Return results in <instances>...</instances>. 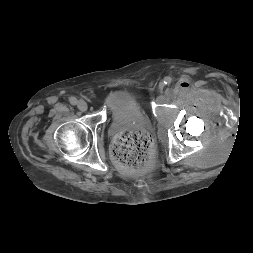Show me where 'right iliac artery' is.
<instances>
[{
  "label": "right iliac artery",
  "mask_w": 253,
  "mask_h": 253,
  "mask_svg": "<svg viewBox=\"0 0 253 253\" xmlns=\"http://www.w3.org/2000/svg\"><path fill=\"white\" fill-rule=\"evenodd\" d=\"M77 99L75 98V97H71L70 98V103L72 104V105H76L77 104Z\"/></svg>",
  "instance_id": "82829eb1"
}]
</instances>
